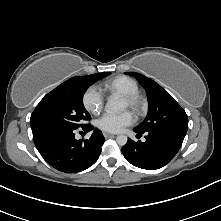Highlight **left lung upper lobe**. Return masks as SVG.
<instances>
[{
    "mask_svg": "<svg viewBox=\"0 0 221 221\" xmlns=\"http://www.w3.org/2000/svg\"><path fill=\"white\" fill-rule=\"evenodd\" d=\"M146 90L148 96V114L145 120L134 128L139 133H147L158 130H177L186 133L188 129V117L183 108L155 81L146 76L128 72Z\"/></svg>",
    "mask_w": 221,
    "mask_h": 221,
    "instance_id": "obj_1",
    "label": "left lung upper lobe"
}]
</instances>
